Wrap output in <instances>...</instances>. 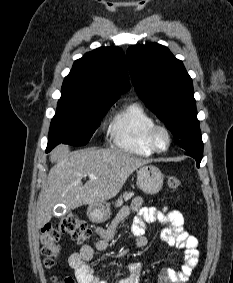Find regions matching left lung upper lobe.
I'll list each match as a JSON object with an SVG mask.
<instances>
[{"instance_id":"obj_1","label":"left lung upper lobe","mask_w":233,"mask_h":283,"mask_svg":"<svg viewBox=\"0 0 233 283\" xmlns=\"http://www.w3.org/2000/svg\"><path fill=\"white\" fill-rule=\"evenodd\" d=\"M134 88L187 151H203L192 79L181 60L157 43L127 50Z\"/></svg>"}]
</instances>
